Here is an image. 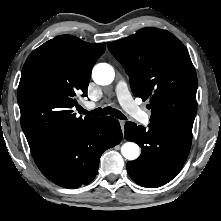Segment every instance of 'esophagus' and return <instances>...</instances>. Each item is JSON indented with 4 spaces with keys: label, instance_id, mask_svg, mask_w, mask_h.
Returning <instances> with one entry per match:
<instances>
[{
    "label": "esophagus",
    "instance_id": "1",
    "mask_svg": "<svg viewBox=\"0 0 221 221\" xmlns=\"http://www.w3.org/2000/svg\"><path fill=\"white\" fill-rule=\"evenodd\" d=\"M119 123L121 125V128L123 129L124 128V125H125V121L124 120H119Z\"/></svg>",
    "mask_w": 221,
    "mask_h": 221
}]
</instances>
